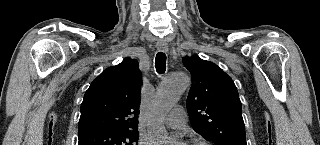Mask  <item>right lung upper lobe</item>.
Listing matches in <instances>:
<instances>
[{
    "mask_svg": "<svg viewBox=\"0 0 320 145\" xmlns=\"http://www.w3.org/2000/svg\"><path fill=\"white\" fill-rule=\"evenodd\" d=\"M141 85L136 60L125 58L104 70L84 95L79 136L103 130H138Z\"/></svg>",
    "mask_w": 320,
    "mask_h": 145,
    "instance_id": "right-lung-upper-lobe-1",
    "label": "right lung upper lobe"
}]
</instances>
